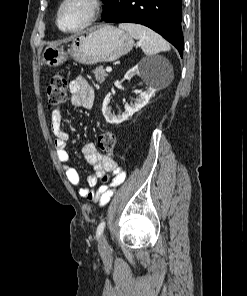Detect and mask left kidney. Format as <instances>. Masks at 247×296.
Here are the masks:
<instances>
[{
	"label": "left kidney",
	"instance_id": "left-kidney-1",
	"mask_svg": "<svg viewBox=\"0 0 247 296\" xmlns=\"http://www.w3.org/2000/svg\"><path fill=\"white\" fill-rule=\"evenodd\" d=\"M168 66V61L163 58L142 59L139 64L130 69L125 74L124 78L126 80H131V78L135 75H138L146 82L148 88L139 94V97L136 99L134 104L126 105L125 111L123 113H119L118 115L111 113V108L109 107L110 94H108L105 97L102 106V113L106 121L110 124H120L131 117L135 112L143 108L157 90L155 78L157 77L161 67L166 68Z\"/></svg>",
	"mask_w": 247,
	"mask_h": 296
}]
</instances>
